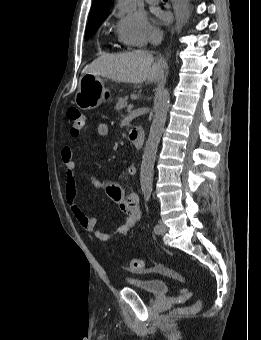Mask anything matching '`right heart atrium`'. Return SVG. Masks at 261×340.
Returning <instances> with one entry per match:
<instances>
[{"label":"right heart atrium","instance_id":"d8ad5b80","mask_svg":"<svg viewBox=\"0 0 261 340\" xmlns=\"http://www.w3.org/2000/svg\"><path fill=\"white\" fill-rule=\"evenodd\" d=\"M116 17L118 36L128 45L143 47L160 33L141 11L118 13Z\"/></svg>","mask_w":261,"mask_h":340}]
</instances>
